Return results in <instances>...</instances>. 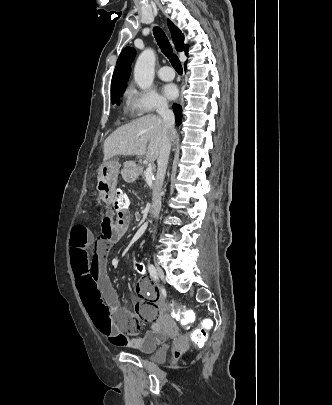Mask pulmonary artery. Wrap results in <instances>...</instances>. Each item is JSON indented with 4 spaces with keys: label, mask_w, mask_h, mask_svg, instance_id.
<instances>
[{
    "label": "pulmonary artery",
    "mask_w": 332,
    "mask_h": 405,
    "mask_svg": "<svg viewBox=\"0 0 332 405\" xmlns=\"http://www.w3.org/2000/svg\"><path fill=\"white\" fill-rule=\"evenodd\" d=\"M158 76L164 81H170L175 77L173 69L169 66H162L158 70Z\"/></svg>",
    "instance_id": "pulmonary-artery-1"
}]
</instances>
